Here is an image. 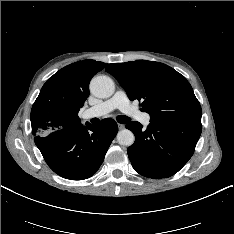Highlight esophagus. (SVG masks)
I'll return each mask as SVG.
<instances>
[{
    "label": "esophagus",
    "instance_id": "obj_1",
    "mask_svg": "<svg viewBox=\"0 0 234 234\" xmlns=\"http://www.w3.org/2000/svg\"><path fill=\"white\" fill-rule=\"evenodd\" d=\"M118 128H119L120 130H122V129L125 128V125H124V124H118Z\"/></svg>",
    "mask_w": 234,
    "mask_h": 234
}]
</instances>
